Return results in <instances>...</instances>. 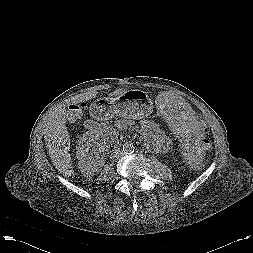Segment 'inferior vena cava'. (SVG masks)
<instances>
[{"mask_svg": "<svg viewBox=\"0 0 253 253\" xmlns=\"http://www.w3.org/2000/svg\"><path fill=\"white\" fill-rule=\"evenodd\" d=\"M122 154H123L122 151L116 149L113 158L118 159L119 157H121Z\"/></svg>", "mask_w": 253, "mask_h": 253, "instance_id": "1", "label": "inferior vena cava"}]
</instances>
